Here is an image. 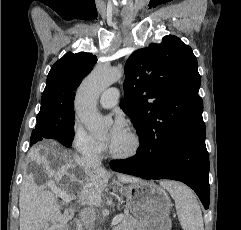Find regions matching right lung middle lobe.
<instances>
[{
    "mask_svg": "<svg viewBox=\"0 0 241 230\" xmlns=\"http://www.w3.org/2000/svg\"><path fill=\"white\" fill-rule=\"evenodd\" d=\"M74 112H40L33 130L30 145L45 139H53L70 147L74 139Z\"/></svg>",
    "mask_w": 241,
    "mask_h": 230,
    "instance_id": "right-lung-middle-lobe-1",
    "label": "right lung middle lobe"
}]
</instances>
